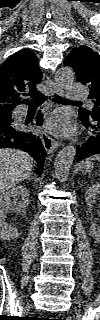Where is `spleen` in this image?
<instances>
[{
    "mask_svg": "<svg viewBox=\"0 0 100 320\" xmlns=\"http://www.w3.org/2000/svg\"><path fill=\"white\" fill-rule=\"evenodd\" d=\"M99 159V156H92V157H90V158H88L86 161H85V163H88V162H90V161H93V160H98Z\"/></svg>",
    "mask_w": 100,
    "mask_h": 320,
    "instance_id": "obj_1",
    "label": "spleen"
}]
</instances>
